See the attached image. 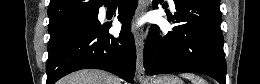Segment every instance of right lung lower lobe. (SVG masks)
Segmentation results:
<instances>
[{
    "instance_id": "right-lung-lower-lobe-1",
    "label": "right lung lower lobe",
    "mask_w": 260,
    "mask_h": 84,
    "mask_svg": "<svg viewBox=\"0 0 260 84\" xmlns=\"http://www.w3.org/2000/svg\"><path fill=\"white\" fill-rule=\"evenodd\" d=\"M138 0H123L118 19L122 22L119 36L108 33L110 25L77 34L49 54L46 84H54L63 76L86 68L111 72L127 82H132L136 69V49L130 32V21Z\"/></svg>"
}]
</instances>
